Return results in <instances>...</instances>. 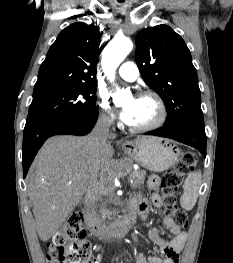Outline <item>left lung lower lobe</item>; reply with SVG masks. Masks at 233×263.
Listing matches in <instances>:
<instances>
[{"label": "left lung lower lobe", "instance_id": "0a47b994", "mask_svg": "<svg viewBox=\"0 0 233 263\" xmlns=\"http://www.w3.org/2000/svg\"><path fill=\"white\" fill-rule=\"evenodd\" d=\"M145 134L166 137L190 145L198 149L206 157V134L204 128L192 125L163 126Z\"/></svg>", "mask_w": 233, "mask_h": 263}]
</instances>
